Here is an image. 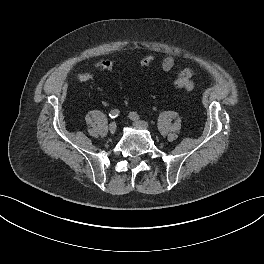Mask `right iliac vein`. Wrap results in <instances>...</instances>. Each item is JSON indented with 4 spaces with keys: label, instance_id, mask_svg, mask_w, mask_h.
<instances>
[{
    "label": "right iliac vein",
    "instance_id": "obj_1",
    "mask_svg": "<svg viewBox=\"0 0 264 264\" xmlns=\"http://www.w3.org/2000/svg\"><path fill=\"white\" fill-rule=\"evenodd\" d=\"M116 130H117V125H116L115 122H112V123L109 125V131H110L111 133H115Z\"/></svg>",
    "mask_w": 264,
    "mask_h": 264
}]
</instances>
